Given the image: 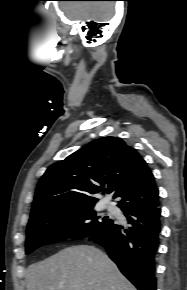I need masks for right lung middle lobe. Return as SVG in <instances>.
I'll return each mask as SVG.
<instances>
[{
    "instance_id": "1",
    "label": "right lung middle lobe",
    "mask_w": 187,
    "mask_h": 290,
    "mask_svg": "<svg viewBox=\"0 0 187 290\" xmlns=\"http://www.w3.org/2000/svg\"><path fill=\"white\" fill-rule=\"evenodd\" d=\"M87 207L50 213L27 226L26 254L36 248L58 242L69 234L75 239L91 236L113 223L107 216H97Z\"/></svg>"
}]
</instances>
